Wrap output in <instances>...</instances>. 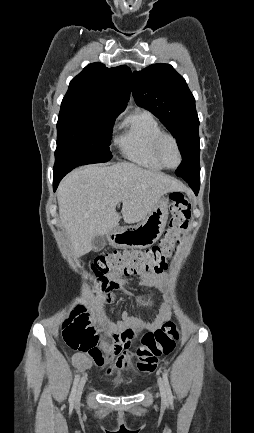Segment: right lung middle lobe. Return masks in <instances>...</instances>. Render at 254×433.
Segmentation results:
<instances>
[{"label":"right lung middle lobe","mask_w":254,"mask_h":433,"mask_svg":"<svg viewBox=\"0 0 254 433\" xmlns=\"http://www.w3.org/2000/svg\"><path fill=\"white\" fill-rule=\"evenodd\" d=\"M115 118V114L95 106L61 107L55 158L71 157L84 165L109 161Z\"/></svg>","instance_id":"obj_1"}]
</instances>
